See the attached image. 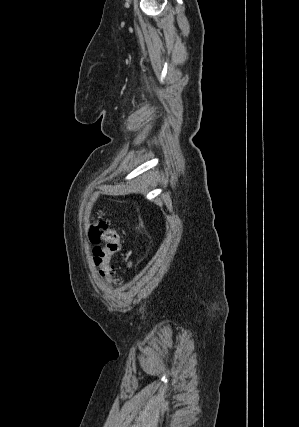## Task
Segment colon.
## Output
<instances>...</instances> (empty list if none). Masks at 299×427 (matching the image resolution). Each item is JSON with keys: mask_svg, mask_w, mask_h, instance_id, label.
<instances>
[{"mask_svg": "<svg viewBox=\"0 0 299 427\" xmlns=\"http://www.w3.org/2000/svg\"><path fill=\"white\" fill-rule=\"evenodd\" d=\"M88 238L93 248V258L99 268V274L108 282H114V267L111 258L121 250L120 234L110 227L107 220L98 213L93 217V222L88 229ZM103 243V246L101 244ZM121 281H118L120 283Z\"/></svg>", "mask_w": 299, "mask_h": 427, "instance_id": "obj_1", "label": "colon"}]
</instances>
